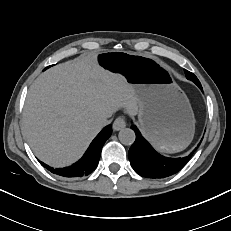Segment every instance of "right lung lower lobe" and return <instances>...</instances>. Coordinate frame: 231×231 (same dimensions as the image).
I'll return each mask as SVG.
<instances>
[{"label": "right lung lower lobe", "mask_w": 231, "mask_h": 231, "mask_svg": "<svg viewBox=\"0 0 231 231\" xmlns=\"http://www.w3.org/2000/svg\"><path fill=\"white\" fill-rule=\"evenodd\" d=\"M112 134V126L108 125L102 129V131L95 137V139L90 144L88 150L84 156L75 164L66 168H52L43 162H40L42 166L51 171L52 173L73 178V177H83L92 173L98 165L101 150L105 141Z\"/></svg>", "instance_id": "right-lung-lower-lobe-1"}]
</instances>
